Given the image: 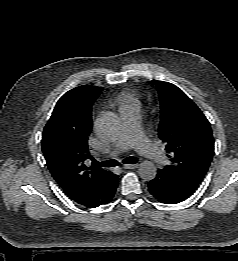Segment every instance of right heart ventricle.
<instances>
[{
	"label": "right heart ventricle",
	"mask_w": 238,
	"mask_h": 261,
	"mask_svg": "<svg viewBox=\"0 0 238 261\" xmlns=\"http://www.w3.org/2000/svg\"><path fill=\"white\" fill-rule=\"evenodd\" d=\"M119 109H125L128 107H138L139 101L134 94L129 91H123L118 96Z\"/></svg>",
	"instance_id": "right-heart-ventricle-1"
}]
</instances>
